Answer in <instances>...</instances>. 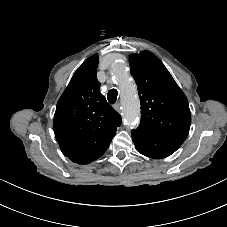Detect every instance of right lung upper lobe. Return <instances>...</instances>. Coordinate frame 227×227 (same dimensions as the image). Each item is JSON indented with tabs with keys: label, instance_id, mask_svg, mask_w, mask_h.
<instances>
[{
	"label": "right lung upper lobe",
	"instance_id": "obj_1",
	"mask_svg": "<svg viewBox=\"0 0 227 227\" xmlns=\"http://www.w3.org/2000/svg\"><path fill=\"white\" fill-rule=\"evenodd\" d=\"M97 54L76 70L60 97L53 130L62 153L78 164L101 157L121 125V116L100 93Z\"/></svg>",
	"mask_w": 227,
	"mask_h": 227
}]
</instances>
